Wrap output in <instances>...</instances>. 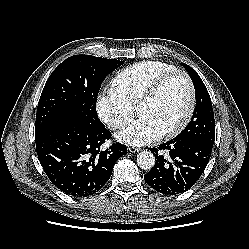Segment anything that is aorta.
<instances>
[{"mask_svg": "<svg viewBox=\"0 0 249 249\" xmlns=\"http://www.w3.org/2000/svg\"><path fill=\"white\" fill-rule=\"evenodd\" d=\"M137 164L143 170H150L154 167L155 157L150 151H142L137 155Z\"/></svg>", "mask_w": 249, "mask_h": 249, "instance_id": "762f6f07", "label": "aorta"}]
</instances>
